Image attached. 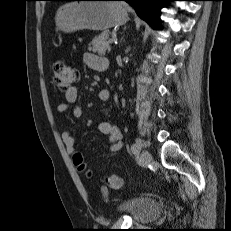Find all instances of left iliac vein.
<instances>
[{
  "label": "left iliac vein",
  "instance_id": "1",
  "mask_svg": "<svg viewBox=\"0 0 231 231\" xmlns=\"http://www.w3.org/2000/svg\"><path fill=\"white\" fill-rule=\"evenodd\" d=\"M153 160V157L151 153L148 150H144L142 152V161L144 165H149L151 161Z\"/></svg>",
  "mask_w": 231,
  "mask_h": 231
}]
</instances>
